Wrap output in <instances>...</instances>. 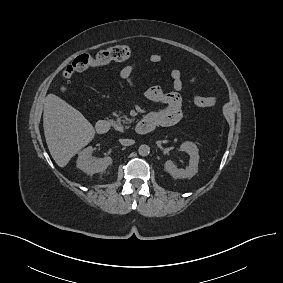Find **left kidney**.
Segmentation results:
<instances>
[{"instance_id": "obj_1", "label": "left kidney", "mask_w": 283, "mask_h": 283, "mask_svg": "<svg viewBox=\"0 0 283 283\" xmlns=\"http://www.w3.org/2000/svg\"><path fill=\"white\" fill-rule=\"evenodd\" d=\"M180 150L188 153L190 157L189 166L186 169H178L171 160H168L164 164V170L173 178H192L198 171V148L194 143L186 141L181 144Z\"/></svg>"}]
</instances>
